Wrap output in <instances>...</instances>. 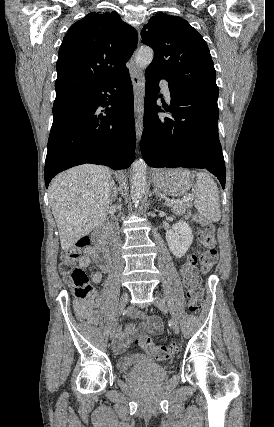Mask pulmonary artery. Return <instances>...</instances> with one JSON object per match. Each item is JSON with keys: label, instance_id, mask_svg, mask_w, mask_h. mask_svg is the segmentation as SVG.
Instances as JSON below:
<instances>
[{"label": "pulmonary artery", "instance_id": "1", "mask_svg": "<svg viewBox=\"0 0 274 427\" xmlns=\"http://www.w3.org/2000/svg\"><path fill=\"white\" fill-rule=\"evenodd\" d=\"M161 89H162V92H163V94H164V97H165L166 101H167V102H171V93H170V90H169L168 84L163 83V84L161 85Z\"/></svg>", "mask_w": 274, "mask_h": 427}]
</instances>
